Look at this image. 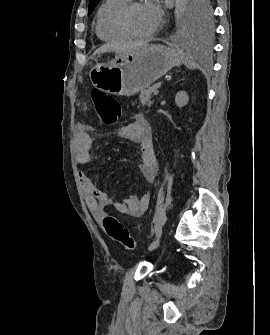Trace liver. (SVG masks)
I'll use <instances>...</instances> for the list:
<instances>
[{"label":"liver","mask_w":270,"mask_h":335,"mask_svg":"<svg viewBox=\"0 0 270 335\" xmlns=\"http://www.w3.org/2000/svg\"><path fill=\"white\" fill-rule=\"evenodd\" d=\"M145 44H139V42H133V44H122L121 48H119L118 52H132V50H140V48H144ZM111 50L110 44H105V46H101L98 48L94 54H105V52H109Z\"/></svg>","instance_id":"1"}]
</instances>
